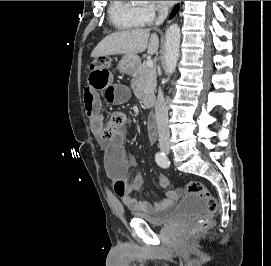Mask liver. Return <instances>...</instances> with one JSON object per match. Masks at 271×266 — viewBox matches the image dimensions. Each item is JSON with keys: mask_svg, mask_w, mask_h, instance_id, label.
Returning <instances> with one entry per match:
<instances>
[{"mask_svg": "<svg viewBox=\"0 0 271 266\" xmlns=\"http://www.w3.org/2000/svg\"><path fill=\"white\" fill-rule=\"evenodd\" d=\"M159 38L151 34L148 29L137 28L116 32L106 36L93 50L91 57H101L116 54L133 55L142 53L147 49L149 55L157 52Z\"/></svg>", "mask_w": 271, "mask_h": 266, "instance_id": "6515ba94", "label": "liver"}]
</instances>
